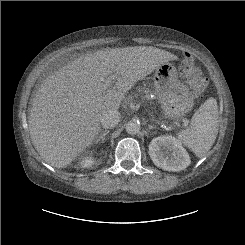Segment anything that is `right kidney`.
<instances>
[{
    "instance_id": "1",
    "label": "right kidney",
    "mask_w": 245,
    "mask_h": 245,
    "mask_svg": "<svg viewBox=\"0 0 245 245\" xmlns=\"http://www.w3.org/2000/svg\"><path fill=\"white\" fill-rule=\"evenodd\" d=\"M93 163H94V159L91 156H88V157H84L80 161V166L83 168H89L93 165Z\"/></svg>"
}]
</instances>
